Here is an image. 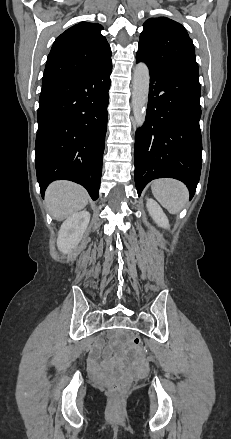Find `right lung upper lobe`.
Wrapping results in <instances>:
<instances>
[{
  "mask_svg": "<svg viewBox=\"0 0 231 439\" xmlns=\"http://www.w3.org/2000/svg\"><path fill=\"white\" fill-rule=\"evenodd\" d=\"M96 23L76 24L55 40L42 85L86 76L111 61V49Z\"/></svg>",
  "mask_w": 231,
  "mask_h": 439,
  "instance_id": "cb5924a9",
  "label": "right lung upper lobe"
}]
</instances>
